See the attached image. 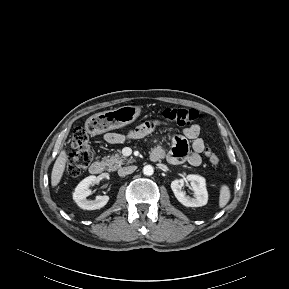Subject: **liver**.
Segmentation results:
<instances>
[{
    "label": "liver",
    "mask_w": 289,
    "mask_h": 289,
    "mask_svg": "<svg viewBox=\"0 0 289 289\" xmlns=\"http://www.w3.org/2000/svg\"><path fill=\"white\" fill-rule=\"evenodd\" d=\"M68 156L65 150H62L57 157L51 173V185L55 187L61 181L63 176Z\"/></svg>",
    "instance_id": "1"
}]
</instances>
